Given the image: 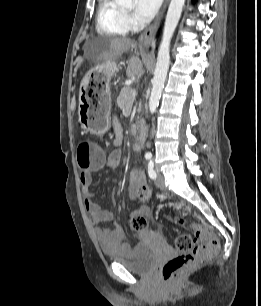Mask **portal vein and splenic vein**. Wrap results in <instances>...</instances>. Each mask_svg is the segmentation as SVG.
I'll list each match as a JSON object with an SVG mask.
<instances>
[{"label":"portal vein and splenic vein","mask_w":261,"mask_h":306,"mask_svg":"<svg viewBox=\"0 0 261 306\" xmlns=\"http://www.w3.org/2000/svg\"><path fill=\"white\" fill-rule=\"evenodd\" d=\"M136 95V91L135 90H133V96H135Z\"/></svg>","instance_id":"18ae733b"}]
</instances>
